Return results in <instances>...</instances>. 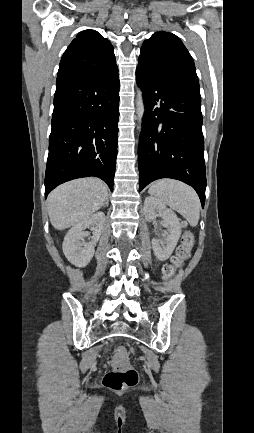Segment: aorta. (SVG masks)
<instances>
[{
	"label": "aorta",
	"mask_w": 254,
	"mask_h": 433,
	"mask_svg": "<svg viewBox=\"0 0 254 433\" xmlns=\"http://www.w3.org/2000/svg\"><path fill=\"white\" fill-rule=\"evenodd\" d=\"M145 112V106L143 101V94L140 89L137 90V97H136V114L139 120V130H141V121L144 116Z\"/></svg>",
	"instance_id": "aorta-1"
}]
</instances>
